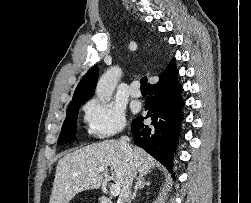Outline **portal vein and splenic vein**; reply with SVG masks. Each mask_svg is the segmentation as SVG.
Masks as SVG:
<instances>
[{
  "label": "portal vein and splenic vein",
  "instance_id": "1",
  "mask_svg": "<svg viewBox=\"0 0 251 203\" xmlns=\"http://www.w3.org/2000/svg\"><path fill=\"white\" fill-rule=\"evenodd\" d=\"M97 172H98V173H101V172L107 173V172H108V169H107V168H103V167H99V168L97 169ZM110 193H111V195H113V196L119 195V193H120V187H119L117 184L111 185V187H110Z\"/></svg>",
  "mask_w": 251,
  "mask_h": 203
}]
</instances>
